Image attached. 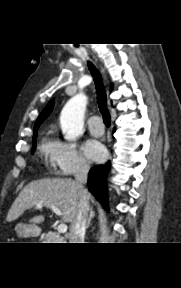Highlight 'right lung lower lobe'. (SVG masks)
Returning <instances> with one entry per match:
<instances>
[{
	"mask_svg": "<svg viewBox=\"0 0 181 288\" xmlns=\"http://www.w3.org/2000/svg\"><path fill=\"white\" fill-rule=\"evenodd\" d=\"M110 169V162L105 165H97L93 167L88 176L89 191L96 197V199L108 209V195L106 177Z\"/></svg>",
	"mask_w": 181,
	"mask_h": 288,
	"instance_id": "obj_1",
	"label": "right lung lower lobe"
}]
</instances>
